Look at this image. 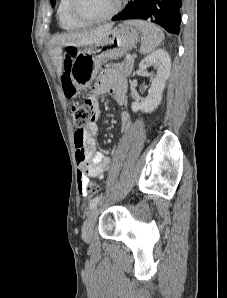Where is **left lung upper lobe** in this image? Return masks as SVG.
Here are the masks:
<instances>
[{
	"mask_svg": "<svg viewBox=\"0 0 227 298\" xmlns=\"http://www.w3.org/2000/svg\"><path fill=\"white\" fill-rule=\"evenodd\" d=\"M55 2H56V0H51V4H52V6L55 5Z\"/></svg>",
	"mask_w": 227,
	"mask_h": 298,
	"instance_id": "5c2ea615",
	"label": "left lung upper lobe"
}]
</instances>
